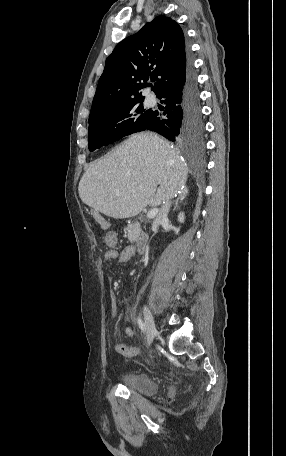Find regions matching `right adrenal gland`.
Returning a JSON list of instances; mask_svg holds the SVG:
<instances>
[{"mask_svg": "<svg viewBox=\"0 0 286 456\" xmlns=\"http://www.w3.org/2000/svg\"><path fill=\"white\" fill-rule=\"evenodd\" d=\"M187 194H188V188L185 187L184 189L181 190L179 197L175 201L173 211H175L178 208L179 202L183 201L185 199V197L187 196Z\"/></svg>", "mask_w": 286, "mask_h": 456, "instance_id": "right-adrenal-gland-1", "label": "right adrenal gland"}]
</instances>
